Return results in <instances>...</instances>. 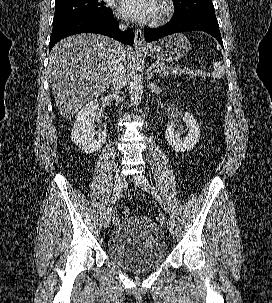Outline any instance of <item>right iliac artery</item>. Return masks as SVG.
Returning a JSON list of instances; mask_svg holds the SVG:
<instances>
[{
    "label": "right iliac artery",
    "instance_id": "1",
    "mask_svg": "<svg viewBox=\"0 0 272 303\" xmlns=\"http://www.w3.org/2000/svg\"><path fill=\"white\" fill-rule=\"evenodd\" d=\"M120 194H121V190L117 191V192L113 195V197L111 198L110 205L107 206V208H106L107 210H105V212H104V214H103V217H104L105 219L108 217V215H110V213H111V211H112V209H113L111 205H113V204L117 201V199H119Z\"/></svg>",
    "mask_w": 272,
    "mask_h": 303
}]
</instances>
